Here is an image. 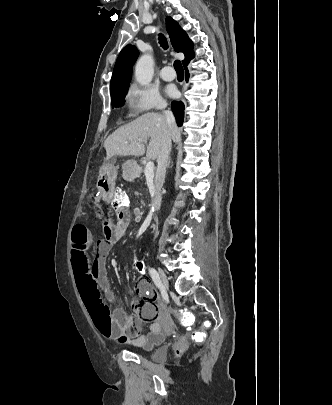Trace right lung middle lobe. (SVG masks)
<instances>
[{
  "label": "right lung middle lobe",
  "mask_w": 332,
  "mask_h": 405,
  "mask_svg": "<svg viewBox=\"0 0 332 405\" xmlns=\"http://www.w3.org/2000/svg\"><path fill=\"white\" fill-rule=\"evenodd\" d=\"M130 81H126L116 85L111 89L112 107H121L125 100Z\"/></svg>",
  "instance_id": "right-lung-middle-lobe-1"
}]
</instances>
